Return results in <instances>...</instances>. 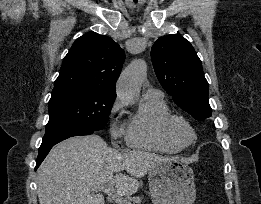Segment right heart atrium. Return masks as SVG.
Wrapping results in <instances>:
<instances>
[{
    "instance_id": "1",
    "label": "right heart atrium",
    "mask_w": 261,
    "mask_h": 204,
    "mask_svg": "<svg viewBox=\"0 0 261 204\" xmlns=\"http://www.w3.org/2000/svg\"><path fill=\"white\" fill-rule=\"evenodd\" d=\"M123 103L119 99H115L112 103L108 112V127L109 135L111 139L115 142H119L125 138L126 129L125 125L117 121V115L122 110Z\"/></svg>"
}]
</instances>
